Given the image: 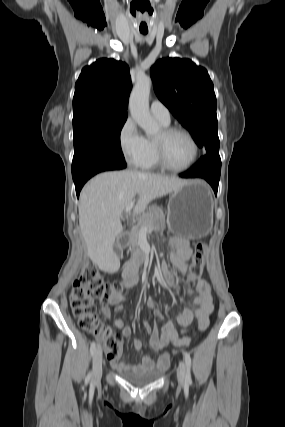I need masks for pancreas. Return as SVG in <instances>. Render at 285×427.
Returning a JSON list of instances; mask_svg holds the SVG:
<instances>
[{
  "label": "pancreas",
  "instance_id": "1",
  "mask_svg": "<svg viewBox=\"0 0 285 427\" xmlns=\"http://www.w3.org/2000/svg\"><path fill=\"white\" fill-rule=\"evenodd\" d=\"M158 213L155 210H147L140 216L137 223L131 228L130 243L136 246L143 227L147 228L148 232L159 226L160 224Z\"/></svg>",
  "mask_w": 285,
  "mask_h": 427
}]
</instances>
